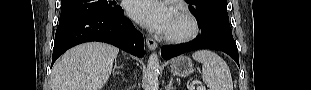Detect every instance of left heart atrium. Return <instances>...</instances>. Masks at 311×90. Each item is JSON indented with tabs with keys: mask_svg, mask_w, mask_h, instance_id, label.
Masks as SVG:
<instances>
[{
	"mask_svg": "<svg viewBox=\"0 0 311 90\" xmlns=\"http://www.w3.org/2000/svg\"><path fill=\"white\" fill-rule=\"evenodd\" d=\"M129 15L150 31L167 33L174 12L163 1L133 0L129 5Z\"/></svg>",
	"mask_w": 311,
	"mask_h": 90,
	"instance_id": "39dd6f15",
	"label": "left heart atrium"
}]
</instances>
